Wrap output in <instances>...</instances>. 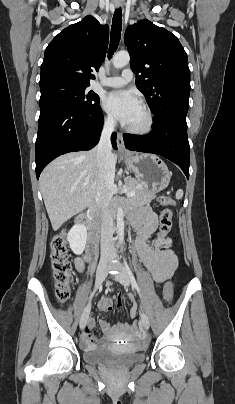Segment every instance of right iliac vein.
<instances>
[{
  "instance_id": "right-iliac-vein-1",
  "label": "right iliac vein",
  "mask_w": 235,
  "mask_h": 404,
  "mask_svg": "<svg viewBox=\"0 0 235 404\" xmlns=\"http://www.w3.org/2000/svg\"><path fill=\"white\" fill-rule=\"evenodd\" d=\"M106 269H107V262L106 261H102L101 263H99L97 271H96V287H99L101 285V283L104 281L105 277H106ZM90 312V303L88 304V306L86 307V311H85V315L81 317L80 319V328L83 329L87 323V317H88V313Z\"/></svg>"
}]
</instances>
